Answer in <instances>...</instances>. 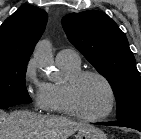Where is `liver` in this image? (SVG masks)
<instances>
[{"label":"liver","mask_w":141,"mask_h":139,"mask_svg":"<svg viewBox=\"0 0 141 139\" xmlns=\"http://www.w3.org/2000/svg\"><path fill=\"white\" fill-rule=\"evenodd\" d=\"M88 125L63 116L41 115L28 110L10 114L0 110V139H68Z\"/></svg>","instance_id":"obj_1"}]
</instances>
